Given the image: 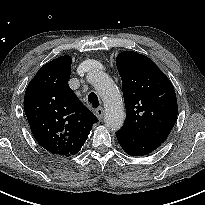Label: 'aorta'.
I'll return each instance as SVG.
<instances>
[{"instance_id": "762f6f07", "label": "aorta", "mask_w": 205, "mask_h": 205, "mask_svg": "<svg viewBox=\"0 0 205 205\" xmlns=\"http://www.w3.org/2000/svg\"><path fill=\"white\" fill-rule=\"evenodd\" d=\"M88 80L99 92L105 107L104 123L111 130H118L125 120L124 106L120 91L108 74L91 71Z\"/></svg>"}]
</instances>
